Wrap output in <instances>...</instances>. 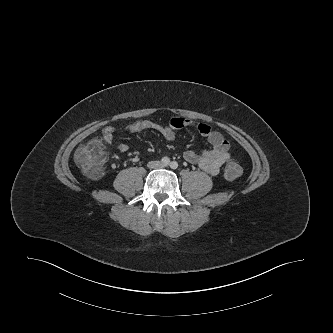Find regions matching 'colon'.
Masks as SVG:
<instances>
[{
  "instance_id": "5ec220e1",
  "label": "colon",
  "mask_w": 333,
  "mask_h": 333,
  "mask_svg": "<svg viewBox=\"0 0 333 333\" xmlns=\"http://www.w3.org/2000/svg\"><path fill=\"white\" fill-rule=\"evenodd\" d=\"M77 166L90 178L101 177L106 160V148L99 140H91L77 149L74 155ZM242 173V167L236 161H230L224 175L227 179L238 178Z\"/></svg>"
}]
</instances>
